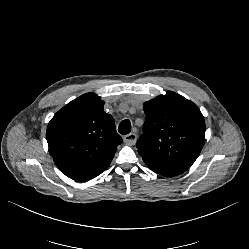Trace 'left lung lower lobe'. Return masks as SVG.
Listing matches in <instances>:
<instances>
[{
    "label": "left lung lower lobe",
    "mask_w": 249,
    "mask_h": 249,
    "mask_svg": "<svg viewBox=\"0 0 249 249\" xmlns=\"http://www.w3.org/2000/svg\"><path fill=\"white\" fill-rule=\"evenodd\" d=\"M148 167L151 170H153L154 172H156L162 176H166V177H173V176H177V175L183 173L182 171L171 169V168L159 165V164H151Z\"/></svg>",
    "instance_id": "obj_1"
}]
</instances>
